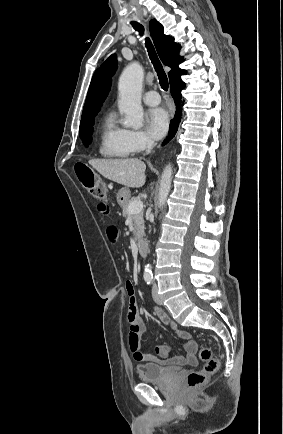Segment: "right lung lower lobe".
<instances>
[{
  "label": "right lung lower lobe",
  "mask_w": 283,
  "mask_h": 434,
  "mask_svg": "<svg viewBox=\"0 0 283 434\" xmlns=\"http://www.w3.org/2000/svg\"><path fill=\"white\" fill-rule=\"evenodd\" d=\"M185 87V83L181 81L180 76H177L173 81L170 82L171 95L174 98V102L176 105V113L175 117L170 122L169 135L166 140L163 142V145L166 144L171 138H173L177 132L180 120H181V97L179 92L181 89Z\"/></svg>",
  "instance_id": "98d812e1"
}]
</instances>
